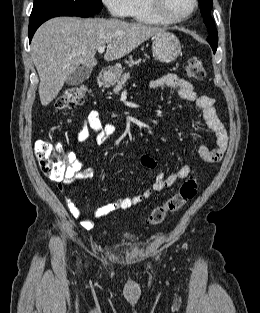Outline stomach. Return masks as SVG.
Segmentation results:
<instances>
[{"label":"stomach","mask_w":260,"mask_h":313,"mask_svg":"<svg viewBox=\"0 0 260 313\" xmlns=\"http://www.w3.org/2000/svg\"><path fill=\"white\" fill-rule=\"evenodd\" d=\"M152 51L157 59L169 63L176 60L180 55L181 45L173 33L164 31L154 36ZM121 72L119 67H112L104 73V80L113 83L119 79Z\"/></svg>","instance_id":"1"}]
</instances>
